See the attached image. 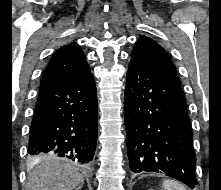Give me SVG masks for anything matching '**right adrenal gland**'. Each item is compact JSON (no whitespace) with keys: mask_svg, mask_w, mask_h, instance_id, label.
I'll use <instances>...</instances> for the list:
<instances>
[{"mask_svg":"<svg viewBox=\"0 0 221 190\" xmlns=\"http://www.w3.org/2000/svg\"><path fill=\"white\" fill-rule=\"evenodd\" d=\"M75 190H81V186H79L78 188H76Z\"/></svg>","mask_w":221,"mask_h":190,"instance_id":"1","label":"right adrenal gland"}]
</instances>
